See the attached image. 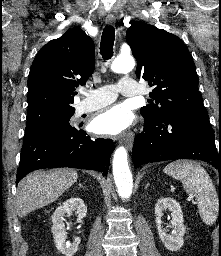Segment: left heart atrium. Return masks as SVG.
I'll return each instance as SVG.
<instances>
[{
	"label": "left heart atrium",
	"mask_w": 221,
	"mask_h": 256,
	"mask_svg": "<svg viewBox=\"0 0 221 256\" xmlns=\"http://www.w3.org/2000/svg\"><path fill=\"white\" fill-rule=\"evenodd\" d=\"M132 123L130 112L122 105H114L100 112L92 121V128L99 134L115 135Z\"/></svg>",
	"instance_id": "1"
}]
</instances>
